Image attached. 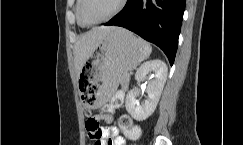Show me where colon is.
Masks as SVG:
<instances>
[{"instance_id":"1","label":"colon","mask_w":243,"mask_h":145,"mask_svg":"<svg viewBox=\"0 0 243 145\" xmlns=\"http://www.w3.org/2000/svg\"><path fill=\"white\" fill-rule=\"evenodd\" d=\"M123 103V95L118 93L113 96L111 102L104 107V112L111 113L113 110ZM119 127L124 132V134L130 139H138L140 137V129L136 126L132 119L128 115H122L119 118ZM86 129L89 135L94 138H99L100 136V126L99 119L95 116L90 117L86 121Z\"/></svg>"}]
</instances>
